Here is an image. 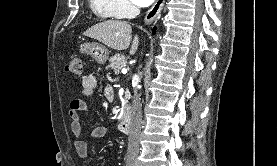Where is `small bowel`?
Instances as JSON below:
<instances>
[{"instance_id": "1", "label": "small bowel", "mask_w": 277, "mask_h": 166, "mask_svg": "<svg viewBox=\"0 0 277 166\" xmlns=\"http://www.w3.org/2000/svg\"><path fill=\"white\" fill-rule=\"evenodd\" d=\"M82 90L80 92L81 96H89L94 93L96 86H97V77L94 74H87L82 78ZM105 97L108 100L113 98V91L111 88H107L105 90ZM88 107L86 103L80 99H74L69 104V111L68 115L71 120L70 126L71 130L75 136L74 140V148L78 156L85 160L88 158L89 152L87 147L86 140L82 137V125L80 119V113L86 112ZM106 134V128L103 126H98L92 130L90 133L91 139H100L104 137Z\"/></svg>"}]
</instances>
